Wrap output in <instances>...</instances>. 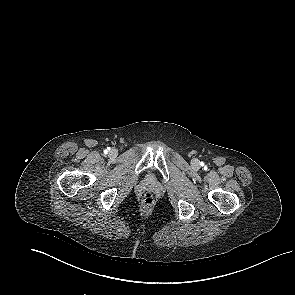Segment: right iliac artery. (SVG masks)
I'll list each match as a JSON object with an SVG mask.
<instances>
[{
	"label": "right iliac artery",
	"instance_id": "obj_1",
	"mask_svg": "<svg viewBox=\"0 0 295 295\" xmlns=\"http://www.w3.org/2000/svg\"><path fill=\"white\" fill-rule=\"evenodd\" d=\"M110 151V148H107L106 150H105V153H107V152H109Z\"/></svg>",
	"mask_w": 295,
	"mask_h": 295
}]
</instances>
